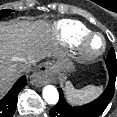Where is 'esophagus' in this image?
<instances>
[{
	"label": "esophagus",
	"mask_w": 117,
	"mask_h": 117,
	"mask_svg": "<svg viewBox=\"0 0 117 117\" xmlns=\"http://www.w3.org/2000/svg\"><path fill=\"white\" fill-rule=\"evenodd\" d=\"M54 67L51 64L41 65L31 76V80L35 85L48 83L53 74Z\"/></svg>",
	"instance_id": "1"
}]
</instances>
